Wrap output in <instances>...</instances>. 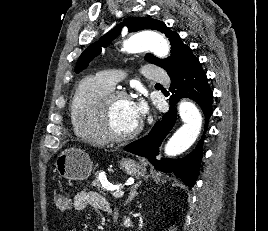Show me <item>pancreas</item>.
<instances>
[{
    "label": "pancreas",
    "instance_id": "pancreas-1",
    "mask_svg": "<svg viewBox=\"0 0 268 231\" xmlns=\"http://www.w3.org/2000/svg\"><path fill=\"white\" fill-rule=\"evenodd\" d=\"M102 181L104 182V186H103L102 183H101V180H100V178H99V174L96 173V174H95V179L93 180L92 185H93L98 191L104 193V192L106 191V188L109 186L110 183L108 182V180H107V178H106L105 175L102 176Z\"/></svg>",
    "mask_w": 268,
    "mask_h": 231
}]
</instances>
